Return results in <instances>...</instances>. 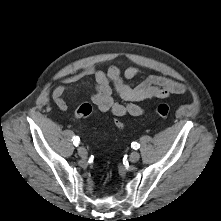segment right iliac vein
Returning a JSON list of instances; mask_svg holds the SVG:
<instances>
[{
    "label": "right iliac vein",
    "instance_id": "63e3f726",
    "mask_svg": "<svg viewBox=\"0 0 221 221\" xmlns=\"http://www.w3.org/2000/svg\"><path fill=\"white\" fill-rule=\"evenodd\" d=\"M78 154H79L80 157L86 158L87 151L84 147L81 146V147L78 148Z\"/></svg>",
    "mask_w": 221,
    "mask_h": 221
}]
</instances>
